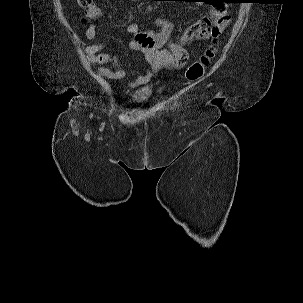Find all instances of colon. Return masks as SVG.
I'll return each mask as SVG.
<instances>
[{"label": "colon", "mask_w": 303, "mask_h": 303, "mask_svg": "<svg viewBox=\"0 0 303 303\" xmlns=\"http://www.w3.org/2000/svg\"><path fill=\"white\" fill-rule=\"evenodd\" d=\"M80 6L88 7L91 6L94 0H77ZM219 35H212L213 45L209 47L200 59L191 64L185 71V78L190 81H195L202 78L205 74L206 67L214 56V45L218 41Z\"/></svg>", "instance_id": "5ec220e1"}]
</instances>
